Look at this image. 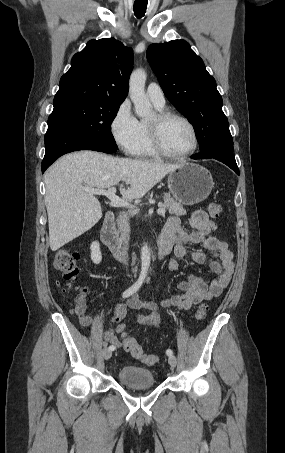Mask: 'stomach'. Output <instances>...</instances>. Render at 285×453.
<instances>
[{"instance_id": "obj_1", "label": "stomach", "mask_w": 285, "mask_h": 453, "mask_svg": "<svg viewBox=\"0 0 285 453\" xmlns=\"http://www.w3.org/2000/svg\"><path fill=\"white\" fill-rule=\"evenodd\" d=\"M213 187L211 173L195 163L183 162L168 176L170 193L184 205L191 206L204 201Z\"/></svg>"}]
</instances>
